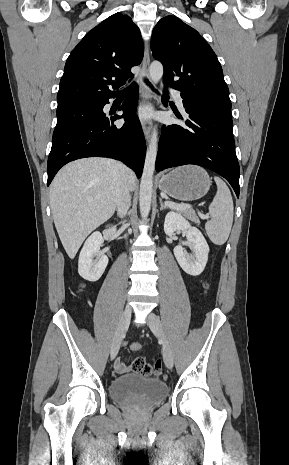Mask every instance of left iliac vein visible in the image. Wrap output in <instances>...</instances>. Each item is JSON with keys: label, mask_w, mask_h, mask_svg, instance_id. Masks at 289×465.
Returning <instances> with one entry per match:
<instances>
[{"label": "left iliac vein", "mask_w": 289, "mask_h": 465, "mask_svg": "<svg viewBox=\"0 0 289 465\" xmlns=\"http://www.w3.org/2000/svg\"><path fill=\"white\" fill-rule=\"evenodd\" d=\"M147 321L151 331L162 340L164 362L165 365L171 369L174 363L173 353L165 336L161 321L154 313L148 315Z\"/></svg>", "instance_id": "4c4485c4"}]
</instances>
